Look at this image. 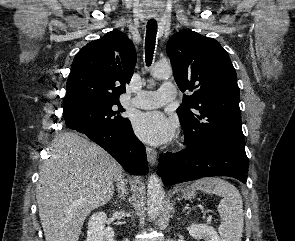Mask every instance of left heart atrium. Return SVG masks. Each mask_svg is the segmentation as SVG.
<instances>
[{"label": "left heart atrium", "instance_id": "left-heart-atrium-1", "mask_svg": "<svg viewBox=\"0 0 295 241\" xmlns=\"http://www.w3.org/2000/svg\"><path fill=\"white\" fill-rule=\"evenodd\" d=\"M135 133L143 141L160 145L169 142L176 130V123L166 118L161 112L140 113L133 121Z\"/></svg>", "mask_w": 295, "mask_h": 241}]
</instances>
